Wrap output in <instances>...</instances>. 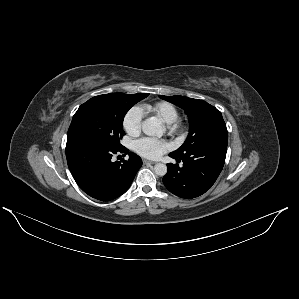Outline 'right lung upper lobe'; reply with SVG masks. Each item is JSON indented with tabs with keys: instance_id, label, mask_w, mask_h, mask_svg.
Masks as SVG:
<instances>
[{
	"instance_id": "cb5924a9",
	"label": "right lung upper lobe",
	"mask_w": 299,
	"mask_h": 299,
	"mask_svg": "<svg viewBox=\"0 0 299 299\" xmlns=\"http://www.w3.org/2000/svg\"><path fill=\"white\" fill-rule=\"evenodd\" d=\"M144 94L145 93H139V94H134V95H136V96H143ZM108 95H111V94L99 95V96H95L94 98L95 99H99V98L107 97Z\"/></svg>"
}]
</instances>
